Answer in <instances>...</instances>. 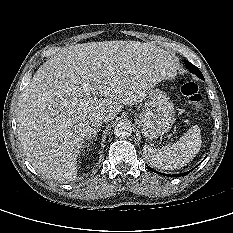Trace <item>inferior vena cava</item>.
<instances>
[{
    "label": "inferior vena cava",
    "mask_w": 233,
    "mask_h": 233,
    "mask_svg": "<svg viewBox=\"0 0 233 233\" xmlns=\"http://www.w3.org/2000/svg\"><path fill=\"white\" fill-rule=\"evenodd\" d=\"M103 122H106V118L102 114H94L90 119V125L95 128L100 127Z\"/></svg>",
    "instance_id": "obj_1"
}]
</instances>
